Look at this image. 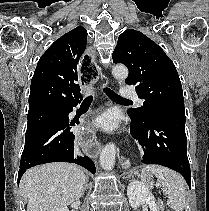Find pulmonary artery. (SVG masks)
Returning a JSON list of instances; mask_svg holds the SVG:
<instances>
[{"label":"pulmonary artery","mask_w":209,"mask_h":211,"mask_svg":"<svg viewBox=\"0 0 209 211\" xmlns=\"http://www.w3.org/2000/svg\"><path fill=\"white\" fill-rule=\"evenodd\" d=\"M120 96L125 99H135L138 103H142V100L138 97L137 92L129 86L121 88Z\"/></svg>","instance_id":"pulmonary-artery-1"}]
</instances>
